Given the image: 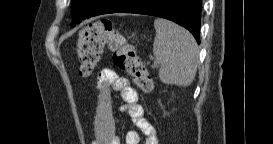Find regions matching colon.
Here are the masks:
<instances>
[{"mask_svg": "<svg viewBox=\"0 0 273 144\" xmlns=\"http://www.w3.org/2000/svg\"><path fill=\"white\" fill-rule=\"evenodd\" d=\"M105 44L113 52L114 65L125 71L141 91L150 92L152 80L147 67L109 19L97 20L81 30L77 44L80 73L88 76L95 70Z\"/></svg>", "mask_w": 273, "mask_h": 144, "instance_id": "colon-1", "label": "colon"}]
</instances>
